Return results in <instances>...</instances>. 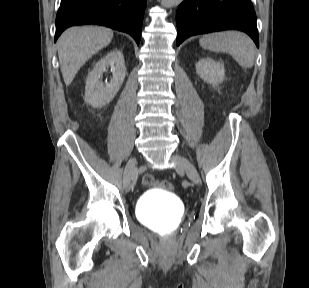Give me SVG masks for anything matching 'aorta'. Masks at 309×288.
<instances>
[{"mask_svg":"<svg viewBox=\"0 0 309 288\" xmlns=\"http://www.w3.org/2000/svg\"><path fill=\"white\" fill-rule=\"evenodd\" d=\"M183 0H161V5L170 8L179 5Z\"/></svg>","mask_w":309,"mask_h":288,"instance_id":"762f6f07","label":"aorta"}]
</instances>
